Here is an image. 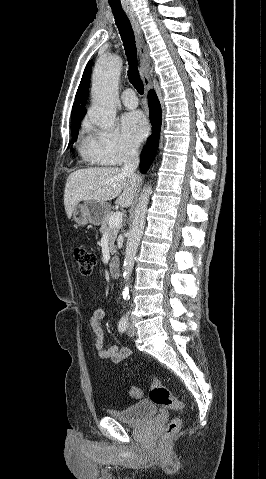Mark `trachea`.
<instances>
[{
    "label": "trachea",
    "instance_id": "trachea-1",
    "mask_svg": "<svg viewBox=\"0 0 266 479\" xmlns=\"http://www.w3.org/2000/svg\"><path fill=\"white\" fill-rule=\"evenodd\" d=\"M112 12L127 56L129 65L128 79L137 92L142 95L144 94V85L137 67V50L131 23L122 9L112 8Z\"/></svg>",
    "mask_w": 266,
    "mask_h": 479
}]
</instances>
